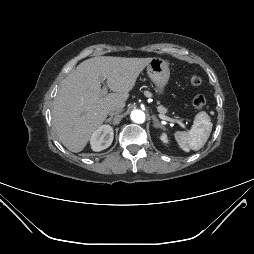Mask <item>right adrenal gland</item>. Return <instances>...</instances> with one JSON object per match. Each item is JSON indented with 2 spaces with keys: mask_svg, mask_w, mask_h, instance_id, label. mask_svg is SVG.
<instances>
[{
  "mask_svg": "<svg viewBox=\"0 0 254 254\" xmlns=\"http://www.w3.org/2000/svg\"><path fill=\"white\" fill-rule=\"evenodd\" d=\"M112 119H113V116H111L110 118H108V119L106 120V122H111Z\"/></svg>",
  "mask_w": 254,
  "mask_h": 254,
  "instance_id": "right-adrenal-gland-1",
  "label": "right adrenal gland"
}]
</instances>
